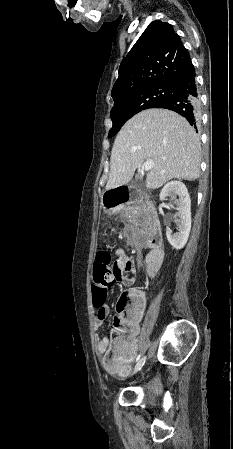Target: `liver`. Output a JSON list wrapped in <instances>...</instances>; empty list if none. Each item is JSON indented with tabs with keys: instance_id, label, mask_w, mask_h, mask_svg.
Returning <instances> with one entry per match:
<instances>
[{
	"instance_id": "1",
	"label": "liver",
	"mask_w": 233,
	"mask_h": 449,
	"mask_svg": "<svg viewBox=\"0 0 233 449\" xmlns=\"http://www.w3.org/2000/svg\"><path fill=\"white\" fill-rule=\"evenodd\" d=\"M154 163L146 187L157 189L171 179L200 176L201 144L189 122L166 109H148L129 119L114 141L106 190L127 184L146 161Z\"/></svg>"
}]
</instances>
